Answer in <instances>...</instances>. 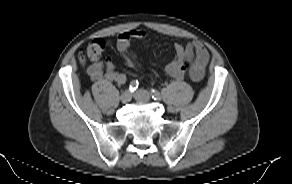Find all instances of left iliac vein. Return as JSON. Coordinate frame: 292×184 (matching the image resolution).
<instances>
[{"label":"left iliac vein","instance_id":"left-iliac-vein-1","mask_svg":"<svg viewBox=\"0 0 292 184\" xmlns=\"http://www.w3.org/2000/svg\"><path fill=\"white\" fill-rule=\"evenodd\" d=\"M134 98L138 101V102H141V103H147L150 101L151 99V93L146 91V90H143V89H140V90H137L135 93H134Z\"/></svg>","mask_w":292,"mask_h":184}]
</instances>
